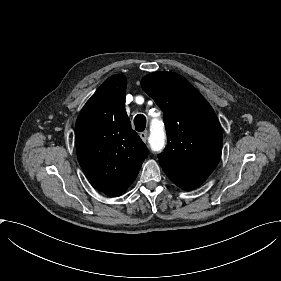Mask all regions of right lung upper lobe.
Returning <instances> with one entry per match:
<instances>
[{
	"mask_svg": "<svg viewBox=\"0 0 281 281\" xmlns=\"http://www.w3.org/2000/svg\"><path fill=\"white\" fill-rule=\"evenodd\" d=\"M126 86L123 74L108 78L87 101L75 126L79 164L92 186L110 197L127 190L148 155L125 111Z\"/></svg>",
	"mask_w": 281,
	"mask_h": 281,
	"instance_id": "right-lung-upper-lobe-1",
	"label": "right lung upper lobe"
}]
</instances>
